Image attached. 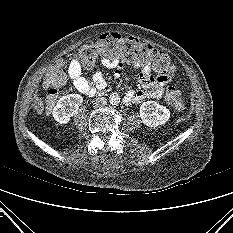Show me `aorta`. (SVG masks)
<instances>
[{"label": "aorta", "instance_id": "762f6f07", "mask_svg": "<svg viewBox=\"0 0 233 233\" xmlns=\"http://www.w3.org/2000/svg\"><path fill=\"white\" fill-rule=\"evenodd\" d=\"M109 102L111 105H117L120 102V96L117 93H112L109 96Z\"/></svg>", "mask_w": 233, "mask_h": 233}]
</instances>
